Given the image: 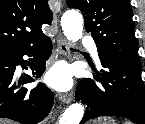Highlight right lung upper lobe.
<instances>
[{
    "label": "right lung upper lobe",
    "instance_id": "right-lung-upper-lobe-1",
    "mask_svg": "<svg viewBox=\"0 0 145 124\" xmlns=\"http://www.w3.org/2000/svg\"><path fill=\"white\" fill-rule=\"evenodd\" d=\"M48 0H0V51L25 48L46 36L42 24H51Z\"/></svg>",
    "mask_w": 145,
    "mask_h": 124
}]
</instances>
